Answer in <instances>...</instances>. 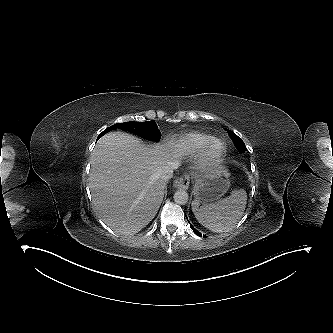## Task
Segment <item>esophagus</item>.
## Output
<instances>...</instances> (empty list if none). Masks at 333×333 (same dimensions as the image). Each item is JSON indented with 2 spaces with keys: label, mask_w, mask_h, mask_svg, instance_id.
Instances as JSON below:
<instances>
[{
  "label": "esophagus",
  "mask_w": 333,
  "mask_h": 333,
  "mask_svg": "<svg viewBox=\"0 0 333 333\" xmlns=\"http://www.w3.org/2000/svg\"><path fill=\"white\" fill-rule=\"evenodd\" d=\"M190 184V175L189 174H184L180 177H178L174 182L173 186L175 188L179 189H187Z\"/></svg>",
  "instance_id": "esophagus-1"
}]
</instances>
